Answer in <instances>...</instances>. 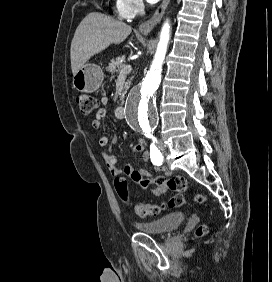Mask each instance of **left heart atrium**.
Masks as SVG:
<instances>
[{"mask_svg": "<svg viewBox=\"0 0 272 282\" xmlns=\"http://www.w3.org/2000/svg\"><path fill=\"white\" fill-rule=\"evenodd\" d=\"M149 3H151V4H155L157 1H159V0H147Z\"/></svg>", "mask_w": 272, "mask_h": 282, "instance_id": "1", "label": "left heart atrium"}]
</instances>
